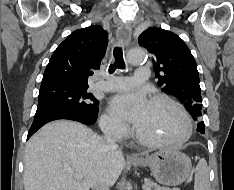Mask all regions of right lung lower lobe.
Returning a JSON list of instances; mask_svg holds the SVG:
<instances>
[{
    "label": "right lung lower lobe",
    "mask_w": 234,
    "mask_h": 190,
    "mask_svg": "<svg viewBox=\"0 0 234 190\" xmlns=\"http://www.w3.org/2000/svg\"><path fill=\"white\" fill-rule=\"evenodd\" d=\"M59 119L74 120L86 125H91L96 122L97 116H89L79 112L65 109L51 110L34 119L31 128L28 132L27 139H29L44 124Z\"/></svg>",
    "instance_id": "right-lung-lower-lobe-1"
}]
</instances>
